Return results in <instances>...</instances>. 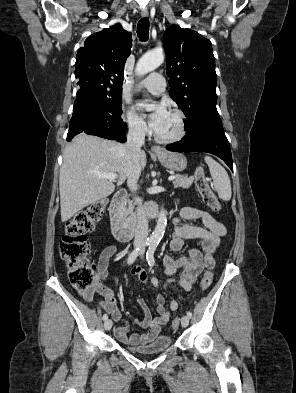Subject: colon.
I'll return each instance as SVG.
<instances>
[{"label": "colon", "mask_w": 296, "mask_h": 393, "mask_svg": "<svg viewBox=\"0 0 296 393\" xmlns=\"http://www.w3.org/2000/svg\"><path fill=\"white\" fill-rule=\"evenodd\" d=\"M195 181L198 191L211 210L219 212L221 204L211 190L202 168L195 172ZM106 207L105 200L94 202L77 212L65 226V233L60 242V256L68 268V278L82 296L88 295L98 285L95 267L89 257L90 246L87 234L94 229L95 223L100 219ZM212 283V273L206 272L200 282V290H207ZM180 322L176 318L172 322L175 329Z\"/></svg>", "instance_id": "1"}]
</instances>
